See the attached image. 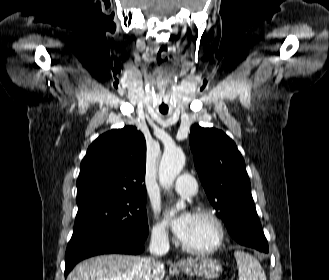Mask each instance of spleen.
I'll return each mask as SVG.
<instances>
[{
	"instance_id": "obj_1",
	"label": "spleen",
	"mask_w": 329,
	"mask_h": 280,
	"mask_svg": "<svg viewBox=\"0 0 329 280\" xmlns=\"http://www.w3.org/2000/svg\"><path fill=\"white\" fill-rule=\"evenodd\" d=\"M239 280H266L259 261L243 251H235Z\"/></svg>"
}]
</instances>
